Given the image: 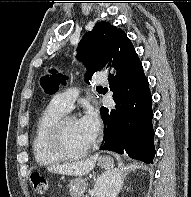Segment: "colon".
<instances>
[{"instance_id":"obj_1","label":"colon","mask_w":191,"mask_h":197,"mask_svg":"<svg viewBox=\"0 0 191 197\" xmlns=\"http://www.w3.org/2000/svg\"><path fill=\"white\" fill-rule=\"evenodd\" d=\"M31 182L33 184V187L36 193L41 194V195H44L47 193L49 189V182L44 176L38 173H33L31 175Z\"/></svg>"}]
</instances>
